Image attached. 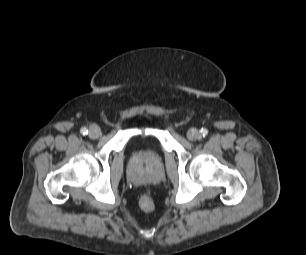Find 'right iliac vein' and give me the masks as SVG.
<instances>
[{"label": "right iliac vein", "mask_w": 306, "mask_h": 255, "mask_svg": "<svg viewBox=\"0 0 306 255\" xmlns=\"http://www.w3.org/2000/svg\"><path fill=\"white\" fill-rule=\"evenodd\" d=\"M101 134V129L97 125H91L89 127V137L92 139H96L100 136Z\"/></svg>", "instance_id": "63e3f726"}]
</instances>
